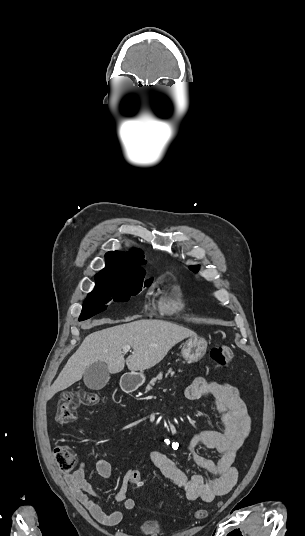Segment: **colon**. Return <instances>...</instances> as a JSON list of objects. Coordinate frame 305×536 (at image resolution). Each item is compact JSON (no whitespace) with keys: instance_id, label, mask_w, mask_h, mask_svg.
<instances>
[{"instance_id":"5ec220e1","label":"colon","mask_w":305,"mask_h":536,"mask_svg":"<svg viewBox=\"0 0 305 536\" xmlns=\"http://www.w3.org/2000/svg\"><path fill=\"white\" fill-rule=\"evenodd\" d=\"M210 357L215 363L225 365L233 358V349L228 344L214 346L210 350ZM99 401L100 395L97 392H65L57 406L56 421L58 425L65 426L73 422L76 419V409L79 405L94 406ZM53 455L61 471H76V453L72 446L57 445L53 450ZM128 474L130 476L127 479L129 486H137L144 480L143 475L135 467L130 468ZM207 516L206 510L195 512L197 519H204Z\"/></svg>"}]
</instances>
